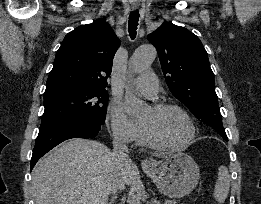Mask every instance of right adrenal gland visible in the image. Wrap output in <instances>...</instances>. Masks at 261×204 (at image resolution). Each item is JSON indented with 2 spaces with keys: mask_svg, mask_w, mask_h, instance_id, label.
<instances>
[{
  "mask_svg": "<svg viewBox=\"0 0 261 204\" xmlns=\"http://www.w3.org/2000/svg\"><path fill=\"white\" fill-rule=\"evenodd\" d=\"M116 199H117V194H114V195L111 197V199H110V201H109L108 204H113Z\"/></svg>",
  "mask_w": 261,
  "mask_h": 204,
  "instance_id": "1",
  "label": "right adrenal gland"
}]
</instances>
